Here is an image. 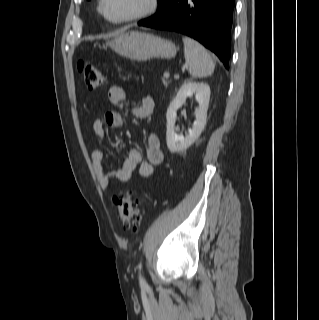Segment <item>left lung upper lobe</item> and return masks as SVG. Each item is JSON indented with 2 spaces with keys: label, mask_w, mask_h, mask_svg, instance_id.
Returning a JSON list of instances; mask_svg holds the SVG:
<instances>
[{
  "label": "left lung upper lobe",
  "mask_w": 319,
  "mask_h": 320,
  "mask_svg": "<svg viewBox=\"0 0 319 320\" xmlns=\"http://www.w3.org/2000/svg\"><path fill=\"white\" fill-rule=\"evenodd\" d=\"M164 0H158L159 5L163 2Z\"/></svg>",
  "instance_id": "obj_1"
}]
</instances>
